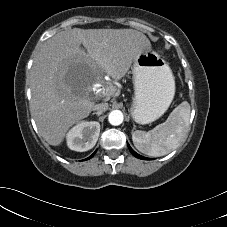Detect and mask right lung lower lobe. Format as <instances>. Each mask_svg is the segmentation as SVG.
<instances>
[{
	"label": "right lung lower lobe",
	"mask_w": 227,
	"mask_h": 227,
	"mask_svg": "<svg viewBox=\"0 0 227 227\" xmlns=\"http://www.w3.org/2000/svg\"><path fill=\"white\" fill-rule=\"evenodd\" d=\"M95 153H93L89 158H87V159H85V160H88V159H90L91 157H93V155H94Z\"/></svg>",
	"instance_id": "obj_1"
}]
</instances>
